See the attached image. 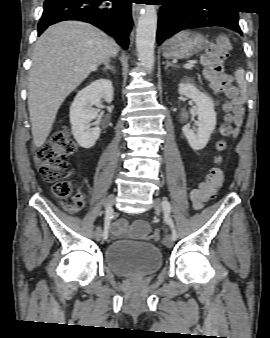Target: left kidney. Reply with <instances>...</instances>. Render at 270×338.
<instances>
[{
	"label": "left kidney",
	"instance_id": "left-kidney-1",
	"mask_svg": "<svg viewBox=\"0 0 270 338\" xmlns=\"http://www.w3.org/2000/svg\"><path fill=\"white\" fill-rule=\"evenodd\" d=\"M179 94L192 99L197 106V128L191 129L190 125L187 124L183 126L182 131L191 148L195 151L201 150L207 145L216 126L217 115L214 111V102L211 97L198 90L191 83H181Z\"/></svg>",
	"mask_w": 270,
	"mask_h": 338
}]
</instances>
